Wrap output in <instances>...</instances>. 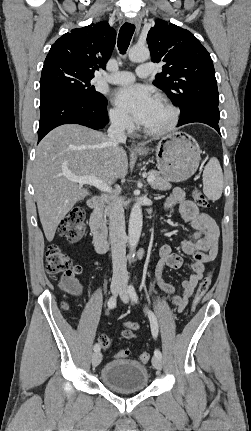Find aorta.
I'll return each instance as SVG.
<instances>
[{"label":"aorta","mask_w":251,"mask_h":431,"mask_svg":"<svg viewBox=\"0 0 251 431\" xmlns=\"http://www.w3.org/2000/svg\"><path fill=\"white\" fill-rule=\"evenodd\" d=\"M129 59L132 62H143L149 59L150 52L147 47L134 46L129 50ZM143 215L140 204L133 205L129 218L128 240L131 251H134L140 239L142 231Z\"/></svg>","instance_id":"1"}]
</instances>
